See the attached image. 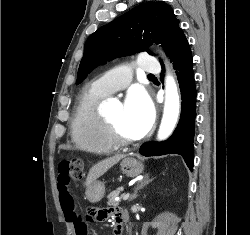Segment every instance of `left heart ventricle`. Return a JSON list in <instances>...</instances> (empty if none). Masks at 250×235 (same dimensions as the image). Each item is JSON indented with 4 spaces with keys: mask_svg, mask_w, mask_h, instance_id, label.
I'll return each mask as SVG.
<instances>
[{
    "mask_svg": "<svg viewBox=\"0 0 250 235\" xmlns=\"http://www.w3.org/2000/svg\"><path fill=\"white\" fill-rule=\"evenodd\" d=\"M112 122L119 128L122 135L128 140L137 139L136 135L132 132L129 123L125 118L124 107H119L107 115Z\"/></svg>",
    "mask_w": 250,
    "mask_h": 235,
    "instance_id": "1",
    "label": "left heart ventricle"
}]
</instances>
